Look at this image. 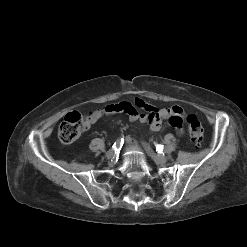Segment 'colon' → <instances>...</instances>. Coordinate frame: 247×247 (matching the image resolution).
<instances>
[{
	"mask_svg": "<svg viewBox=\"0 0 247 247\" xmlns=\"http://www.w3.org/2000/svg\"><path fill=\"white\" fill-rule=\"evenodd\" d=\"M188 133L191 142L200 146L203 141V127L195 115L187 118ZM86 129V122L83 115L78 111L68 113L59 126L58 137L64 144H71L76 141Z\"/></svg>",
	"mask_w": 247,
	"mask_h": 247,
	"instance_id": "5ec220e1",
	"label": "colon"
}]
</instances>
